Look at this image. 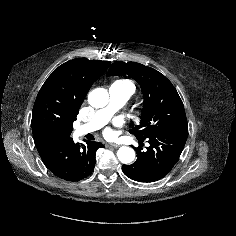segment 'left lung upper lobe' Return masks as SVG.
Returning <instances> with one entry per match:
<instances>
[{"instance_id":"left-lung-upper-lobe-1","label":"left lung upper lobe","mask_w":236,"mask_h":236,"mask_svg":"<svg viewBox=\"0 0 236 236\" xmlns=\"http://www.w3.org/2000/svg\"><path fill=\"white\" fill-rule=\"evenodd\" d=\"M130 76L141 86L144 102L140 125L130 130L137 139L187 125L180 96L172 83L157 70L136 62L112 64L108 76Z\"/></svg>"}]
</instances>
